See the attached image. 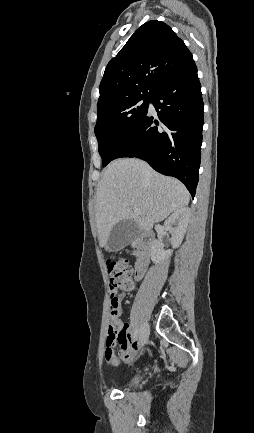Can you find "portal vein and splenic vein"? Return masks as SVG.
<instances>
[{
    "instance_id": "obj_1",
    "label": "portal vein and splenic vein",
    "mask_w": 254,
    "mask_h": 433,
    "mask_svg": "<svg viewBox=\"0 0 254 433\" xmlns=\"http://www.w3.org/2000/svg\"><path fill=\"white\" fill-rule=\"evenodd\" d=\"M134 212L140 214L141 210L139 208H134Z\"/></svg>"
}]
</instances>
